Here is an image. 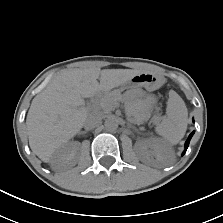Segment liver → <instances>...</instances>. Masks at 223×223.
I'll return each instance as SVG.
<instances>
[{
	"label": "liver",
	"instance_id": "6515ba94",
	"mask_svg": "<svg viewBox=\"0 0 223 223\" xmlns=\"http://www.w3.org/2000/svg\"><path fill=\"white\" fill-rule=\"evenodd\" d=\"M139 73L131 69L88 68L64 71L56 76L33 99L27 114L32 151L43 162H50L54 152L84 126L88 118L84 98L124 85Z\"/></svg>",
	"mask_w": 223,
	"mask_h": 223
}]
</instances>
